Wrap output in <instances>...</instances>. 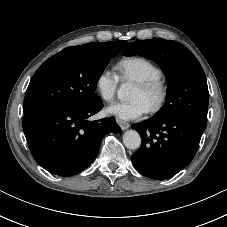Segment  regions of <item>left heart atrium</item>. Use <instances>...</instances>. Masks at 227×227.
Here are the masks:
<instances>
[{
  "label": "left heart atrium",
  "mask_w": 227,
  "mask_h": 227,
  "mask_svg": "<svg viewBox=\"0 0 227 227\" xmlns=\"http://www.w3.org/2000/svg\"><path fill=\"white\" fill-rule=\"evenodd\" d=\"M148 112L147 105L141 99L116 101L106 108V113L122 121L134 120Z\"/></svg>",
  "instance_id": "39dd6f15"
}]
</instances>
